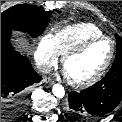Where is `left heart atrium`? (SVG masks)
Segmentation results:
<instances>
[{"label": "left heart atrium", "instance_id": "obj_1", "mask_svg": "<svg viewBox=\"0 0 122 122\" xmlns=\"http://www.w3.org/2000/svg\"><path fill=\"white\" fill-rule=\"evenodd\" d=\"M64 74L67 76V74H66L65 70H64Z\"/></svg>", "mask_w": 122, "mask_h": 122}]
</instances>
